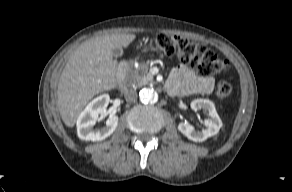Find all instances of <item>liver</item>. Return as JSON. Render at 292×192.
Returning <instances> with one entry per match:
<instances>
[{
    "label": "liver",
    "mask_w": 292,
    "mask_h": 192,
    "mask_svg": "<svg viewBox=\"0 0 292 192\" xmlns=\"http://www.w3.org/2000/svg\"><path fill=\"white\" fill-rule=\"evenodd\" d=\"M135 34L105 35L73 51L58 83V108L64 124L73 127L86 104L97 94L116 87L117 61L112 50L128 47Z\"/></svg>",
    "instance_id": "6515ba94"
}]
</instances>
